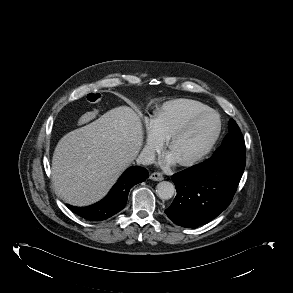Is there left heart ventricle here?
I'll list each match as a JSON object with an SVG mask.
<instances>
[{
    "label": "left heart ventricle",
    "instance_id": "1",
    "mask_svg": "<svg viewBox=\"0 0 293 293\" xmlns=\"http://www.w3.org/2000/svg\"><path fill=\"white\" fill-rule=\"evenodd\" d=\"M217 127L213 115L198 120L184 135L174 141L170 152L178 161H185L198 154L207 144Z\"/></svg>",
    "mask_w": 293,
    "mask_h": 293
}]
</instances>
